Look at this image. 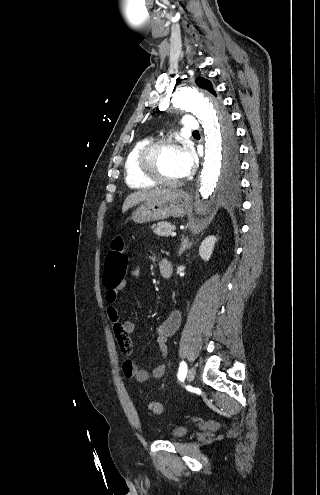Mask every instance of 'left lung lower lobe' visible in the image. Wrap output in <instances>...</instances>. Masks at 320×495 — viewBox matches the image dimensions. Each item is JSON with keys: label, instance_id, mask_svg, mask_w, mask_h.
<instances>
[{"label": "left lung lower lobe", "instance_id": "obj_1", "mask_svg": "<svg viewBox=\"0 0 320 495\" xmlns=\"http://www.w3.org/2000/svg\"><path fill=\"white\" fill-rule=\"evenodd\" d=\"M227 123H228V124H229V126L232 128V126H231V121H230V117H229V115H228V114H227ZM232 129H233V128H232Z\"/></svg>", "mask_w": 320, "mask_h": 495}]
</instances>
